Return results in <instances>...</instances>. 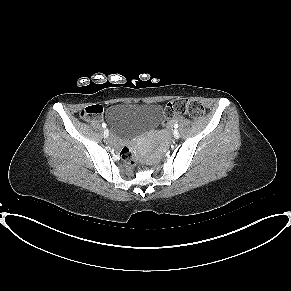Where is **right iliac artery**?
<instances>
[{"instance_id":"right-iliac-artery-1","label":"right iliac artery","mask_w":291,"mask_h":291,"mask_svg":"<svg viewBox=\"0 0 291 291\" xmlns=\"http://www.w3.org/2000/svg\"><path fill=\"white\" fill-rule=\"evenodd\" d=\"M102 127L105 128L106 127V124L105 123H102Z\"/></svg>"}]
</instances>
